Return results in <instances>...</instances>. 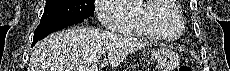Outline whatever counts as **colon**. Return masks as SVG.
I'll use <instances>...</instances> for the list:
<instances>
[{
  "label": "colon",
  "mask_w": 230,
  "mask_h": 71,
  "mask_svg": "<svg viewBox=\"0 0 230 71\" xmlns=\"http://www.w3.org/2000/svg\"><path fill=\"white\" fill-rule=\"evenodd\" d=\"M178 71H192V68L187 64H183L179 66Z\"/></svg>",
  "instance_id": "colon-1"
}]
</instances>
